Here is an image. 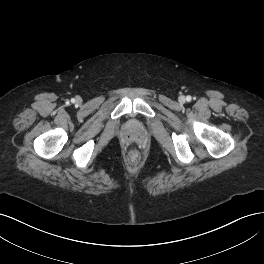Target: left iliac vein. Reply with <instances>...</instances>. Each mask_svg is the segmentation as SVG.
I'll return each instance as SVG.
<instances>
[{"mask_svg": "<svg viewBox=\"0 0 264 264\" xmlns=\"http://www.w3.org/2000/svg\"><path fill=\"white\" fill-rule=\"evenodd\" d=\"M179 101H180L181 103H184V102H185V97H184V96H180V97H179Z\"/></svg>", "mask_w": 264, "mask_h": 264, "instance_id": "obj_1", "label": "left iliac vein"}]
</instances>
